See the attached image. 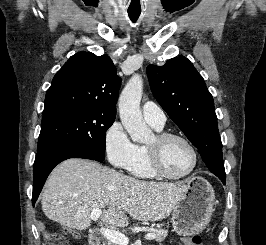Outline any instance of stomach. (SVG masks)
<instances>
[{"instance_id":"stomach-1","label":"stomach","mask_w":266,"mask_h":245,"mask_svg":"<svg viewBox=\"0 0 266 245\" xmlns=\"http://www.w3.org/2000/svg\"><path fill=\"white\" fill-rule=\"evenodd\" d=\"M188 191L172 211V227L177 235L191 237L206 229L214 211L215 191L203 177H189Z\"/></svg>"}]
</instances>
